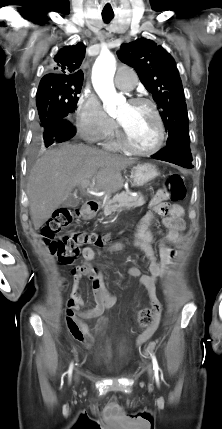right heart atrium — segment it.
<instances>
[{"label": "right heart atrium", "instance_id": "right-heart-atrium-1", "mask_svg": "<svg viewBox=\"0 0 222 429\" xmlns=\"http://www.w3.org/2000/svg\"><path fill=\"white\" fill-rule=\"evenodd\" d=\"M76 122L80 134L91 142L105 140L115 129V122L106 114L100 100L88 90L77 100Z\"/></svg>", "mask_w": 222, "mask_h": 429}]
</instances>
